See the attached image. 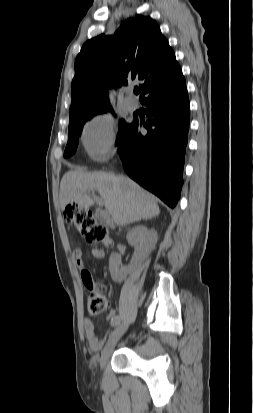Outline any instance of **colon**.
<instances>
[{"mask_svg": "<svg viewBox=\"0 0 253 413\" xmlns=\"http://www.w3.org/2000/svg\"><path fill=\"white\" fill-rule=\"evenodd\" d=\"M65 221L73 225L79 232L85 235L90 243L101 242L106 245L111 243L108 229L97 222L94 216L85 209L77 205H68L64 209ZM88 311L96 315L107 309L108 302L103 294V287L98 284H91L88 287Z\"/></svg>", "mask_w": 253, "mask_h": 413, "instance_id": "colon-1", "label": "colon"}]
</instances>
